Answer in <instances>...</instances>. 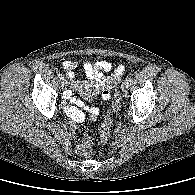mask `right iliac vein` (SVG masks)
I'll use <instances>...</instances> for the list:
<instances>
[{"label":"right iliac vein","instance_id":"right-iliac-vein-1","mask_svg":"<svg viewBox=\"0 0 195 195\" xmlns=\"http://www.w3.org/2000/svg\"><path fill=\"white\" fill-rule=\"evenodd\" d=\"M60 84H61L62 89H65V88H66V86H67V81H66V79H65L64 77H62V78L60 79Z\"/></svg>","mask_w":195,"mask_h":195}]
</instances>
